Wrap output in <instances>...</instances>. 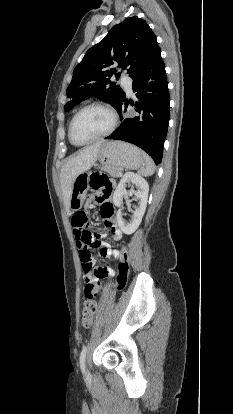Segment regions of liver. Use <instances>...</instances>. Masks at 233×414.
Returning a JSON list of instances; mask_svg holds the SVG:
<instances>
[{"label":"liver","instance_id":"6515ba94","mask_svg":"<svg viewBox=\"0 0 233 414\" xmlns=\"http://www.w3.org/2000/svg\"><path fill=\"white\" fill-rule=\"evenodd\" d=\"M104 142H97L84 147L79 153L70 157L61 169L60 182L63 192L64 205L69 212L72 187L77 177L89 170L97 161Z\"/></svg>","mask_w":233,"mask_h":414}]
</instances>
